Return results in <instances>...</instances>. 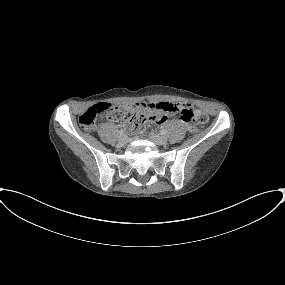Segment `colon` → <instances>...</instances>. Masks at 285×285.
Segmentation results:
<instances>
[{
	"label": "colon",
	"instance_id": "obj_1",
	"mask_svg": "<svg viewBox=\"0 0 285 285\" xmlns=\"http://www.w3.org/2000/svg\"><path fill=\"white\" fill-rule=\"evenodd\" d=\"M153 105H113L110 103H98L89 107L79 118L80 124L85 130H94L97 124L103 120L135 122L141 116L148 115ZM170 112L178 114L187 123L204 124L208 121L206 113L193 108L187 102L174 103Z\"/></svg>",
	"mask_w": 285,
	"mask_h": 285
}]
</instances>
